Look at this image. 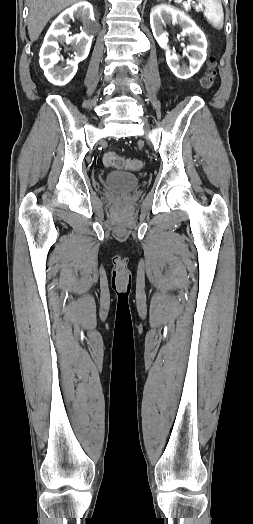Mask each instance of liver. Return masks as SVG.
Masks as SVG:
<instances>
[{"label":"liver","instance_id":"1","mask_svg":"<svg viewBox=\"0 0 253 524\" xmlns=\"http://www.w3.org/2000/svg\"><path fill=\"white\" fill-rule=\"evenodd\" d=\"M81 0H28V34L31 41L38 39L47 22L66 7Z\"/></svg>","mask_w":253,"mask_h":524}]
</instances>
